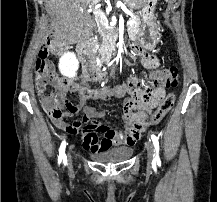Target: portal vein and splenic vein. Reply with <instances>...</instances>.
Listing matches in <instances>:
<instances>
[{
    "label": "portal vein and splenic vein",
    "instance_id": "portal-vein-and-splenic-vein-1",
    "mask_svg": "<svg viewBox=\"0 0 217 202\" xmlns=\"http://www.w3.org/2000/svg\"><path fill=\"white\" fill-rule=\"evenodd\" d=\"M93 2H100V0H93ZM126 14H131V12H126ZM134 24H136V22H133V20H129V22H127V26H134ZM110 26H115V24L110 22Z\"/></svg>",
    "mask_w": 217,
    "mask_h": 202
}]
</instances>
